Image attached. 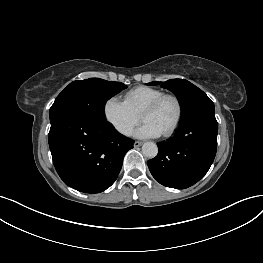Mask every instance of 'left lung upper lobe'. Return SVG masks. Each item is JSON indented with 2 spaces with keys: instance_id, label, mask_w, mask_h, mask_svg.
<instances>
[{
  "instance_id": "left-lung-upper-lobe-1",
  "label": "left lung upper lobe",
  "mask_w": 263,
  "mask_h": 263,
  "mask_svg": "<svg viewBox=\"0 0 263 263\" xmlns=\"http://www.w3.org/2000/svg\"><path fill=\"white\" fill-rule=\"evenodd\" d=\"M161 82H150L148 85H158ZM161 87L172 91L179 99L182 108L181 124L203 114L215 113L213 102L198 87L184 79H170Z\"/></svg>"
}]
</instances>
